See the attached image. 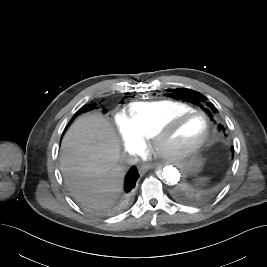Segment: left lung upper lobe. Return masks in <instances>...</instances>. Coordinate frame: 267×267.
Masks as SVG:
<instances>
[{"label": "left lung upper lobe", "instance_id": "obj_1", "mask_svg": "<svg viewBox=\"0 0 267 267\" xmlns=\"http://www.w3.org/2000/svg\"><path fill=\"white\" fill-rule=\"evenodd\" d=\"M168 92L169 93L166 94L167 96L200 106L210 117L216 112V109L210 103H208V106H205L207 98L197 91L187 88H177L169 89ZM220 130L223 132L225 131L223 127H220Z\"/></svg>", "mask_w": 267, "mask_h": 267}]
</instances>
